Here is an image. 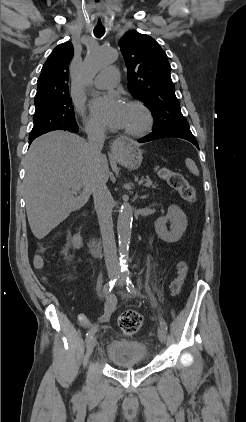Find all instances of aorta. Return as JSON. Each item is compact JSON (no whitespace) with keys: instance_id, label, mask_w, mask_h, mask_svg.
Instances as JSON below:
<instances>
[{"instance_id":"obj_1","label":"aorta","mask_w":246,"mask_h":422,"mask_svg":"<svg viewBox=\"0 0 246 422\" xmlns=\"http://www.w3.org/2000/svg\"><path fill=\"white\" fill-rule=\"evenodd\" d=\"M117 56V50L110 47H98L90 50L80 72L81 83L85 85L91 83L98 71L105 65L113 63ZM132 221V207L128 202H124L119 211L117 221L119 255L122 263H126L129 254Z\"/></svg>"}]
</instances>
